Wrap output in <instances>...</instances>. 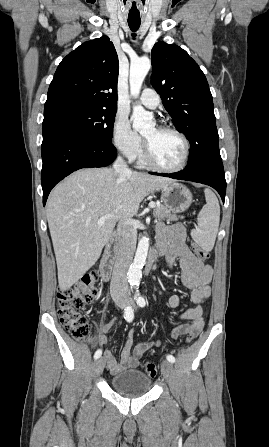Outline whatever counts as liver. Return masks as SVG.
<instances>
[{
    "mask_svg": "<svg viewBox=\"0 0 269 447\" xmlns=\"http://www.w3.org/2000/svg\"><path fill=\"white\" fill-rule=\"evenodd\" d=\"M173 182L141 172L116 176L112 168H89L58 184L48 198L46 216L60 289H69L99 259L117 220L135 216L146 196ZM107 214L114 218L97 224Z\"/></svg>",
    "mask_w": 269,
    "mask_h": 447,
    "instance_id": "1",
    "label": "liver"
}]
</instances>
